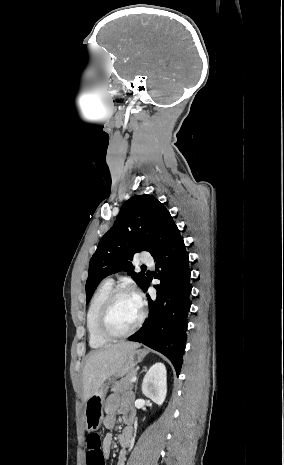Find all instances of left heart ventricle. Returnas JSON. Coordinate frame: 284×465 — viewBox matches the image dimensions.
<instances>
[{
	"label": "left heart ventricle",
	"mask_w": 284,
	"mask_h": 465,
	"mask_svg": "<svg viewBox=\"0 0 284 465\" xmlns=\"http://www.w3.org/2000/svg\"><path fill=\"white\" fill-rule=\"evenodd\" d=\"M140 315L141 309L137 299L123 296L116 301L110 313L108 329L116 336L125 335L136 325Z\"/></svg>",
	"instance_id": "b2bd125f"
}]
</instances>
